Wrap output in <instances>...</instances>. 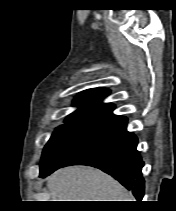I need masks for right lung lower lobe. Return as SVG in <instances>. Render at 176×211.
<instances>
[{
    "label": "right lung lower lobe",
    "instance_id": "right-lung-lower-lobe-1",
    "mask_svg": "<svg viewBox=\"0 0 176 211\" xmlns=\"http://www.w3.org/2000/svg\"><path fill=\"white\" fill-rule=\"evenodd\" d=\"M137 143V137L127 131V118L118 116L92 128L50 165L41 168L40 177L68 165H90L110 174L141 201L144 162L136 150Z\"/></svg>",
    "mask_w": 176,
    "mask_h": 211
}]
</instances>
